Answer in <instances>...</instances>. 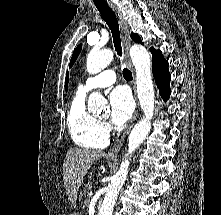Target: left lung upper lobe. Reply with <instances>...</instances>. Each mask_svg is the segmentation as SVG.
Instances as JSON below:
<instances>
[{
	"mask_svg": "<svg viewBox=\"0 0 221 215\" xmlns=\"http://www.w3.org/2000/svg\"><path fill=\"white\" fill-rule=\"evenodd\" d=\"M131 38L133 39V41L137 42V43H142L141 41V38L137 35V34H134V33H131ZM143 44V43H142ZM81 48H82V44H79L77 46V48L74 50L73 52V55H72V58H71V61H70V67L74 64V62L76 61L80 51H81ZM151 52L154 50V48L152 47L151 49Z\"/></svg>",
	"mask_w": 221,
	"mask_h": 215,
	"instance_id": "obj_1",
	"label": "left lung upper lobe"
}]
</instances>
